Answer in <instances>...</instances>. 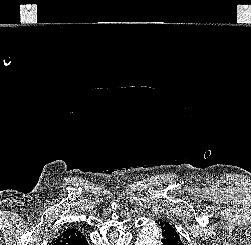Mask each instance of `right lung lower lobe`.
Returning <instances> with one entry per match:
<instances>
[{
    "instance_id": "right-lung-lower-lobe-1",
    "label": "right lung lower lobe",
    "mask_w": 251,
    "mask_h": 245,
    "mask_svg": "<svg viewBox=\"0 0 251 245\" xmlns=\"http://www.w3.org/2000/svg\"><path fill=\"white\" fill-rule=\"evenodd\" d=\"M51 245H88L85 236L77 229H68L58 234Z\"/></svg>"
}]
</instances>
